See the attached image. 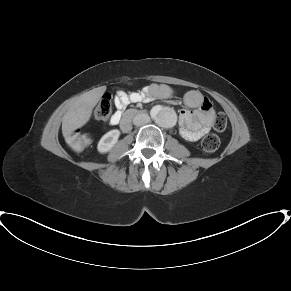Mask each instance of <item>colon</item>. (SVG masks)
I'll use <instances>...</instances> for the list:
<instances>
[{
  "mask_svg": "<svg viewBox=\"0 0 291 291\" xmlns=\"http://www.w3.org/2000/svg\"><path fill=\"white\" fill-rule=\"evenodd\" d=\"M112 113V96L110 93H105L101 98L98 106L95 109V118L105 121L110 118ZM227 126V118L223 113H218L214 119V128L216 130H224ZM89 135L85 132L77 131L69 140L70 146L77 151L84 149L89 141ZM220 146V139L209 134L202 140V148L206 152H214Z\"/></svg>",
  "mask_w": 291,
  "mask_h": 291,
  "instance_id": "1",
  "label": "colon"
}]
</instances>
